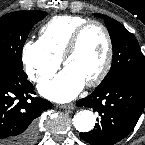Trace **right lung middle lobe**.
Listing matches in <instances>:
<instances>
[{"label": "right lung middle lobe", "instance_id": "right-lung-middle-lobe-1", "mask_svg": "<svg viewBox=\"0 0 145 145\" xmlns=\"http://www.w3.org/2000/svg\"><path fill=\"white\" fill-rule=\"evenodd\" d=\"M46 15L44 11H19L0 18V68L23 69L22 47L34 24Z\"/></svg>", "mask_w": 145, "mask_h": 145}]
</instances>
